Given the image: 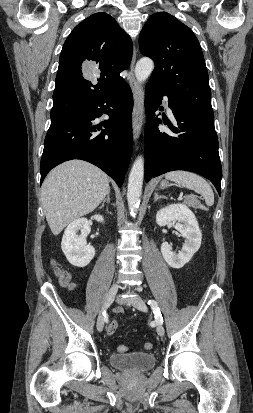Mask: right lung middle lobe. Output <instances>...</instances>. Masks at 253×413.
<instances>
[{
	"label": "right lung middle lobe",
	"instance_id": "dd1d6c3e",
	"mask_svg": "<svg viewBox=\"0 0 253 413\" xmlns=\"http://www.w3.org/2000/svg\"><path fill=\"white\" fill-rule=\"evenodd\" d=\"M62 117H64V116H62ZM62 117H51V122H52V121H55V120H57V119H60V118H62Z\"/></svg>",
	"mask_w": 253,
	"mask_h": 413
}]
</instances>
